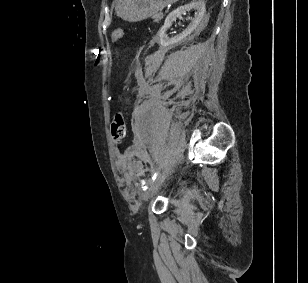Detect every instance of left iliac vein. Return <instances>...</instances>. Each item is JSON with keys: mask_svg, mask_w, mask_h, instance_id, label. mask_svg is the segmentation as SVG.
Listing matches in <instances>:
<instances>
[{"mask_svg": "<svg viewBox=\"0 0 308 283\" xmlns=\"http://www.w3.org/2000/svg\"><path fill=\"white\" fill-rule=\"evenodd\" d=\"M168 174H169V171H166L164 173L159 174L156 177V179L151 183L150 187L143 195V199L145 201H148L150 198H152L157 193V191L161 187L162 183L164 182Z\"/></svg>", "mask_w": 308, "mask_h": 283, "instance_id": "left-iliac-vein-1", "label": "left iliac vein"}]
</instances>
